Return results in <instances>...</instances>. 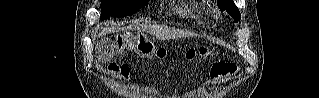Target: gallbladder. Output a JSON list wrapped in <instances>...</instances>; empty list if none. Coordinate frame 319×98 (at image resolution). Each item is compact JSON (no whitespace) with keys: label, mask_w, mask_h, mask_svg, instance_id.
Segmentation results:
<instances>
[{"label":"gallbladder","mask_w":319,"mask_h":98,"mask_svg":"<svg viewBox=\"0 0 319 98\" xmlns=\"http://www.w3.org/2000/svg\"><path fill=\"white\" fill-rule=\"evenodd\" d=\"M113 54L114 52L112 49L104 51L103 48L100 47L97 50V55H99L104 61L110 60L113 57Z\"/></svg>","instance_id":"obj_1"}]
</instances>
